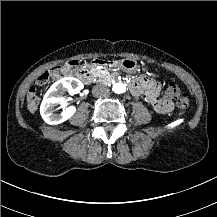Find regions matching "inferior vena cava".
I'll use <instances>...</instances> for the list:
<instances>
[{"label": "inferior vena cava", "mask_w": 217, "mask_h": 217, "mask_svg": "<svg viewBox=\"0 0 217 217\" xmlns=\"http://www.w3.org/2000/svg\"><path fill=\"white\" fill-rule=\"evenodd\" d=\"M110 91L109 87L104 84H98L93 88V94L95 96H104Z\"/></svg>", "instance_id": "obj_1"}]
</instances>
